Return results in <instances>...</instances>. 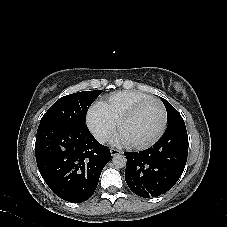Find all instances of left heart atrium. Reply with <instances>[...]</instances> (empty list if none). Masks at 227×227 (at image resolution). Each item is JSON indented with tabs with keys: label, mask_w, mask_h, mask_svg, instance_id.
<instances>
[{
	"label": "left heart atrium",
	"mask_w": 227,
	"mask_h": 227,
	"mask_svg": "<svg viewBox=\"0 0 227 227\" xmlns=\"http://www.w3.org/2000/svg\"><path fill=\"white\" fill-rule=\"evenodd\" d=\"M114 143L117 146H127V145H130L129 141L122 134H120V133L114 138Z\"/></svg>",
	"instance_id": "39dd6f15"
}]
</instances>
